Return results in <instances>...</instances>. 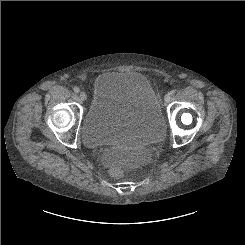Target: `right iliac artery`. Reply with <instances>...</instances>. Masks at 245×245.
<instances>
[{
	"label": "right iliac artery",
	"mask_w": 245,
	"mask_h": 245,
	"mask_svg": "<svg viewBox=\"0 0 245 245\" xmlns=\"http://www.w3.org/2000/svg\"><path fill=\"white\" fill-rule=\"evenodd\" d=\"M73 90H74L75 93H79V91H80V89L78 87H74Z\"/></svg>",
	"instance_id": "right-iliac-artery-1"
}]
</instances>
